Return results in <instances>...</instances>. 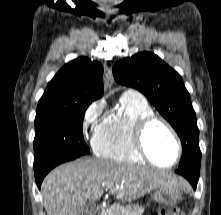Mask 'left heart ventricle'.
<instances>
[{
    "label": "left heart ventricle",
    "instance_id": "b2bd125f",
    "mask_svg": "<svg viewBox=\"0 0 221 215\" xmlns=\"http://www.w3.org/2000/svg\"><path fill=\"white\" fill-rule=\"evenodd\" d=\"M145 146L151 158L160 165H169L176 158V144L160 123L152 124L147 130Z\"/></svg>",
    "mask_w": 221,
    "mask_h": 215
}]
</instances>
